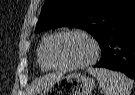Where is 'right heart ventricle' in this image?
Here are the masks:
<instances>
[{"label":"right heart ventricle","mask_w":135,"mask_h":95,"mask_svg":"<svg viewBox=\"0 0 135 95\" xmlns=\"http://www.w3.org/2000/svg\"><path fill=\"white\" fill-rule=\"evenodd\" d=\"M52 36L53 34H50L44 37L37 51L38 64H39L40 69L44 72H48L53 69L52 67L48 65L46 61V57H45L46 48Z\"/></svg>","instance_id":"obj_1"}]
</instances>
